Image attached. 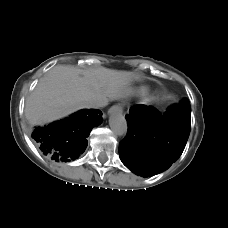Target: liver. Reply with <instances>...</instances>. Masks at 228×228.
<instances>
[{"label":"liver","instance_id":"1","mask_svg":"<svg viewBox=\"0 0 228 228\" xmlns=\"http://www.w3.org/2000/svg\"><path fill=\"white\" fill-rule=\"evenodd\" d=\"M132 72L104 67L81 70L75 66H55L40 79L29 96L25 116L33 125H42L85 108L90 99L120 98L129 91Z\"/></svg>","mask_w":228,"mask_h":228}]
</instances>
